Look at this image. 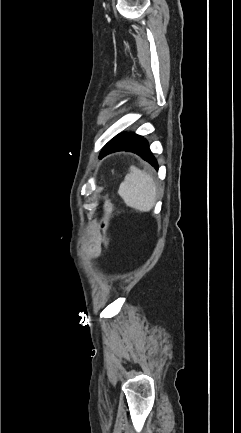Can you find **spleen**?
Wrapping results in <instances>:
<instances>
[{
	"mask_svg": "<svg viewBox=\"0 0 241 433\" xmlns=\"http://www.w3.org/2000/svg\"><path fill=\"white\" fill-rule=\"evenodd\" d=\"M118 194L127 206L141 212H149L155 205L156 185L148 173L131 166L120 184Z\"/></svg>",
	"mask_w": 241,
	"mask_h": 433,
	"instance_id": "obj_1",
	"label": "spleen"
}]
</instances>
